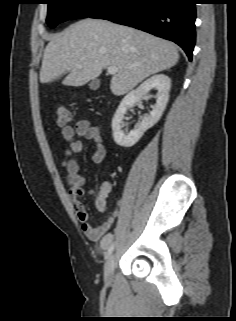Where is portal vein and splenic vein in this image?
Returning a JSON list of instances; mask_svg holds the SVG:
<instances>
[{"label":"portal vein and splenic vein","mask_w":236,"mask_h":321,"mask_svg":"<svg viewBox=\"0 0 236 321\" xmlns=\"http://www.w3.org/2000/svg\"><path fill=\"white\" fill-rule=\"evenodd\" d=\"M107 72L111 75H114L118 72V68L116 66H109L107 68Z\"/></svg>","instance_id":"1"}]
</instances>
